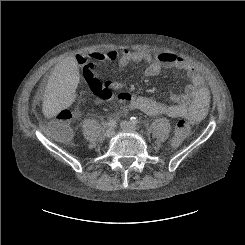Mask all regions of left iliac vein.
Returning a JSON list of instances; mask_svg holds the SVG:
<instances>
[{"label":"left iliac vein","mask_w":245,"mask_h":245,"mask_svg":"<svg viewBox=\"0 0 245 245\" xmlns=\"http://www.w3.org/2000/svg\"><path fill=\"white\" fill-rule=\"evenodd\" d=\"M120 126L124 131H131V132L136 131V126L129 121H122Z\"/></svg>","instance_id":"1"}]
</instances>
